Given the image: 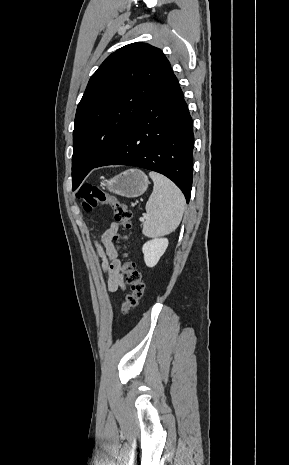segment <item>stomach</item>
<instances>
[{
	"mask_svg": "<svg viewBox=\"0 0 289 465\" xmlns=\"http://www.w3.org/2000/svg\"><path fill=\"white\" fill-rule=\"evenodd\" d=\"M104 186L118 195L132 198L142 195L148 188L149 180L144 172L129 169L119 175L104 181Z\"/></svg>",
	"mask_w": 289,
	"mask_h": 465,
	"instance_id": "0dacf381",
	"label": "stomach"
}]
</instances>
